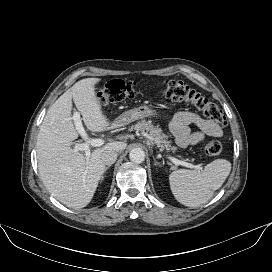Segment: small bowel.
Masks as SVG:
<instances>
[{
    "mask_svg": "<svg viewBox=\"0 0 272 272\" xmlns=\"http://www.w3.org/2000/svg\"><path fill=\"white\" fill-rule=\"evenodd\" d=\"M190 125L199 128L197 132H190ZM169 127L180 147L196 145L206 136L221 137L223 132L215 122L201 118L192 112L181 111L176 113L169 122Z\"/></svg>",
    "mask_w": 272,
    "mask_h": 272,
    "instance_id": "c3829d8e",
    "label": "small bowel"
}]
</instances>
